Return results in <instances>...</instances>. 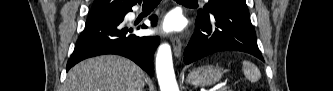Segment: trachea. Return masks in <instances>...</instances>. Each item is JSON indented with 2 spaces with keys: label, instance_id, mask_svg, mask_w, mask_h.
Returning <instances> with one entry per match:
<instances>
[{
  "label": "trachea",
  "instance_id": "trachea-1",
  "mask_svg": "<svg viewBox=\"0 0 333 91\" xmlns=\"http://www.w3.org/2000/svg\"><path fill=\"white\" fill-rule=\"evenodd\" d=\"M179 3L193 2V0H176ZM145 3H159L160 0H145Z\"/></svg>",
  "mask_w": 333,
  "mask_h": 91
}]
</instances>
